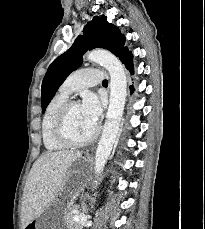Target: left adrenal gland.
I'll return each instance as SVG.
<instances>
[{
    "mask_svg": "<svg viewBox=\"0 0 205 229\" xmlns=\"http://www.w3.org/2000/svg\"><path fill=\"white\" fill-rule=\"evenodd\" d=\"M82 210H83V212H87V211H88L87 205L84 204V203H83V205H82Z\"/></svg>",
    "mask_w": 205,
    "mask_h": 229,
    "instance_id": "left-adrenal-gland-1",
    "label": "left adrenal gland"
}]
</instances>
